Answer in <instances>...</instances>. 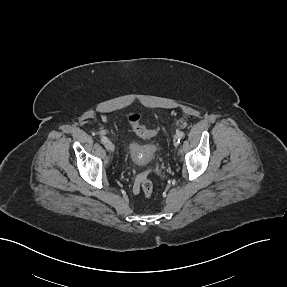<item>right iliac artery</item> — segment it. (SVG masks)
I'll list each match as a JSON object with an SVG mask.
<instances>
[{
	"label": "right iliac artery",
	"mask_w": 287,
	"mask_h": 287,
	"mask_svg": "<svg viewBox=\"0 0 287 287\" xmlns=\"http://www.w3.org/2000/svg\"><path fill=\"white\" fill-rule=\"evenodd\" d=\"M100 140L102 143H106L108 141V139L105 136H102Z\"/></svg>",
	"instance_id": "obj_1"
}]
</instances>
